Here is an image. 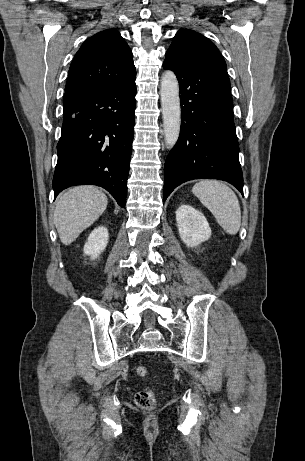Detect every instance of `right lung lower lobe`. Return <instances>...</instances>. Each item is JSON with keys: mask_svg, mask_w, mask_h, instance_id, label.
Here are the masks:
<instances>
[{"mask_svg": "<svg viewBox=\"0 0 305 461\" xmlns=\"http://www.w3.org/2000/svg\"><path fill=\"white\" fill-rule=\"evenodd\" d=\"M135 76L63 98L54 198L72 185L105 188L124 207L136 107Z\"/></svg>", "mask_w": 305, "mask_h": 461, "instance_id": "98d812e1", "label": "right lung lower lobe"}]
</instances>
